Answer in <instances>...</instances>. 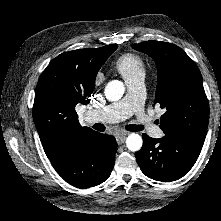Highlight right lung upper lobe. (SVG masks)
Masks as SVG:
<instances>
[{
    "instance_id": "obj_1",
    "label": "right lung upper lobe",
    "mask_w": 221,
    "mask_h": 221,
    "mask_svg": "<svg viewBox=\"0 0 221 221\" xmlns=\"http://www.w3.org/2000/svg\"><path fill=\"white\" fill-rule=\"evenodd\" d=\"M112 45L62 53L43 71L35 90L33 119L49 159L73 139L95 133L80 125L75 106L90 101L96 74Z\"/></svg>"
}]
</instances>
